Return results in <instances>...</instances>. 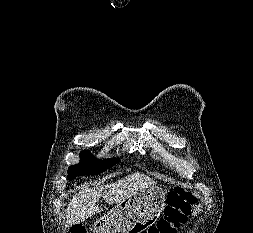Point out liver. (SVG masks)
Returning <instances> with one entry per match:
<instances>
[{"label": "liver", "mask_w": 253, "mask_h": 233, "mask_svg": "<svg viewBox=\"0 0 253 233\" xmlns=\"http://www.w3.org/2000/svg\"><path fill=\"white\" fill-rule=\"evenodd\" d=\"M156 182L149 176L135 173L110 184L86 188L76 193L69 201L66 225L71 226L85 221L87 218L102 212L96 203L102 197L108 204H118L136 191L154 186Z\"/></svg>", "instance_id": "liver-1"}]
</instances>
